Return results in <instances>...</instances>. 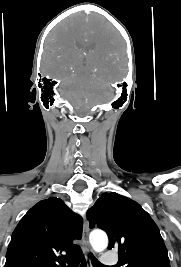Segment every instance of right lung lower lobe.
<instances>
[{
    "label": "right lung lower lobe",
    "instance_id": "98d812e1",
    "mask_svg": "<svg viewBox=\"0 0 181 267\" xmlns=\"http://www.w3.org/2000/svg\"><path fill=\"white\" fill-rule=\"evenodd\" d=\"M81 261H82V263H81L80 267H86V261L83 257H81Z\"/></svg>",
    "mask_w": 181,
    "mask_h": 267
}]
</instances>
